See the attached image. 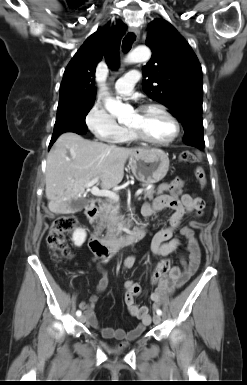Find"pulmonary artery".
<instances>
[{"mask_svg": "<svg viewBox=\"0 0 247 385\" xmlns=\"http://www.w3.org/2000/svg\"><path fill=\"white\" fill-rule=\"evenodd\" d=\"M140 73L137 70H130L115 83V90L121 96H129L133 92L135 83L139 80Z\"/></svg>", "mask_w": 247, "mask_h": 385, "instance_id": "1", "label": "pulmonary artery"}]
</instances>
